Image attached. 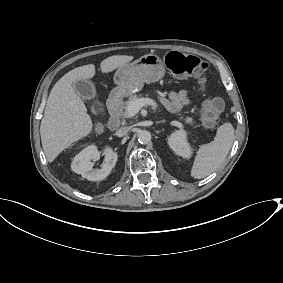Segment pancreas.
Instances as JSON below:
<instances>
[{
	"mask_svg": "<svg viewBox=\"0 0 283 283\" xmlns=\"http://www.w3.org/2000/svg\"><path fill=\"white\" fill-rule=\"evenodd\" d=\"M141 95H131L127 101L121 102L118 107L116 106H108V111L110 115H116L120 118L128 117L127 107L130 102L135 101L140 98ZM186 123L193 124V119L191 117H187L185 119Z\"/></svg>",
	"mask_w": 283,
	"mask_h": 283,
	"instance_id": "1",
	"label": "pancreas"
}]
</instances>
